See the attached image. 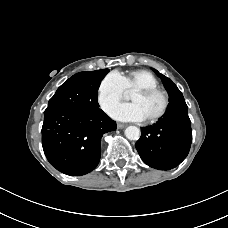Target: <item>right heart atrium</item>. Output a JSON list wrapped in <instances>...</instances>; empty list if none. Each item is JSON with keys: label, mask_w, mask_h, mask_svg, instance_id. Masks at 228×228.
Masks as SVG:
<instances>
[{"label": "right heart atrium", "mask_w": 228, "mask_h": 228, "mask_svg": "<svg viewBox=\"0 0 228 228\" xmlns=\"http://www.w3.org/2000/svg\"><path fill=\"white\" fill-rule=\"evenodd\" d=\"M125 95V88L120 75L116 72L107 74L97 88V102L100 109L108 113Z\"/></svg>", "instance_id": "1"}]
</instances>
